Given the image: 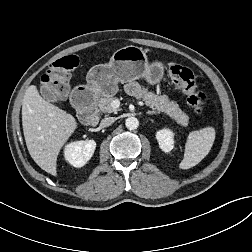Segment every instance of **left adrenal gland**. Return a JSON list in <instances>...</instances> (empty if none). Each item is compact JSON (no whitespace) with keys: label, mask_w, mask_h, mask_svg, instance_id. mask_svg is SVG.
<instances>
[{"label":"left adrenal gland","mask_w":252,"mask_h":252,"mask_svg":"<svg viewBox=\"0 0 252 252\" xmlns=\"http://www.w3.org/2000/svg\"><path fill=\"white\" fill-rule=\"evenodd\" d=\"M158 113L156 111H148L147 115H157Z\"/></svg>","instance_id":"left-adrenal-gland-1"}]
</instances>
